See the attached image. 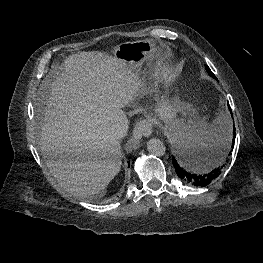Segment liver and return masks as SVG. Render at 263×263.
I'll return each mask as SVG.
<instances>
[{"instance_id": "obj_1", "label": "liver", "mask_w": 263, "mask_h": 263, "mask_svg": "<svg viewBox=\"0 0 263 263\" xmlns=\"http://www.w3.org/2000/svg\"><path fill=\"white\" fill-rule=\"evenodd\" d=\"M42 88L50 93L40 139L46 165L65 190L103 196L122 164L109 127L126 117L121 108L147 93L145 84L117 58L84 51L66 58L63 72L46 77Z\"/></svg>"}]
</instances>
